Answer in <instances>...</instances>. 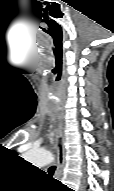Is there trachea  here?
Wrapping results in <instances>:
<instances>
[{
    "instance_id": "obj_1",
    "label": "trachea",
    "mask_w": 114,
    "mask_h": 191,
    "mask_svg": "<svg viewBox=\"0 0 114 191\" xmlns=\"http://www.w3.org/2000/svg\"><path fill=\"white\" fill-rule=\"evenodd\" d=\"M56 167L55 166H51L48 170L49 174L52 175L55 171Z\"/></svg>"
}]
</instances>
